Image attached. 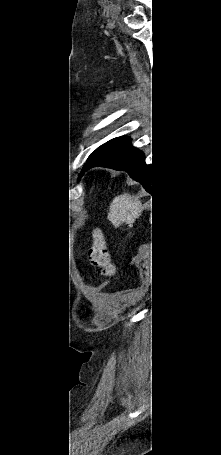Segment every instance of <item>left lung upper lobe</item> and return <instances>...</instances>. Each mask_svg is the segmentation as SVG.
I'll use <instances>...</instances> for the list:
<instances>
[{"mask_svg": "<svg viewBox=\"0 0 221 455\" xmlns=\"http://www.w3.org/2000/svg\"><path fill=\"white\" fill-rule=\"evenodd\" d=\"M112 141V140H110ZM110 141L106 142L105 144L101 145L99 148H97L91 155L88 157L87 162L92 159L94 156H96Z\"/></svg>", "mask_w": 221, "mask_h": 455, "instance_id": "1", "label": "left lung upper lobe"}]
</instances>
